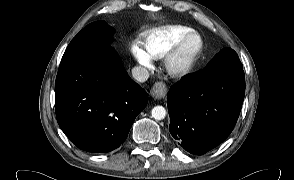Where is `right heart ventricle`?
Listing matches in <instances>:
<instances>
[{
    "label": "right heart ventricle",
    "mask_w": 294,
    "mask_h": 180,
    "mask_svg": "<svg viewBox=\"0 0 294 180\" xmlns=\"http://www.w3.org/2000/svg\"><path fill=\"white\" fill-rule=\"evenodd\" d=\"M190 32V28L182 25H167L141 32L139 40L152 59H161Z\"/></svg>",
    "instance_id": "right-heart-ventricle-1"
}]
</instances>
